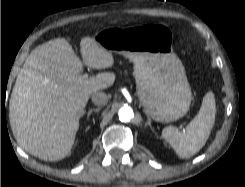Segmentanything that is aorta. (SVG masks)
Wrapping results in <instances>:
<instances>
[{"label":"aorta","instance_id":"obj_1","mask_svg":"<svg viewBox=\"0 0 245 187\" xmlns=\"http://www.w3.org/2000/svg\"><path fill=\"white\" fill-rule=\"evenodd\" d=\"M118 115L122 122H129L133 118V110L128 106H124L119 110Z\"/></svg>","mask_w":245,"mask_h":187}]
</instances>
